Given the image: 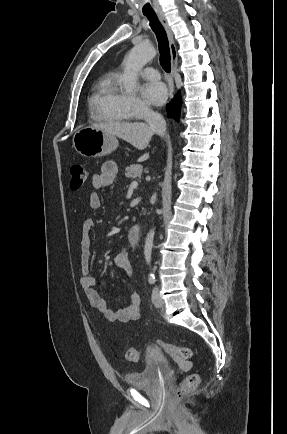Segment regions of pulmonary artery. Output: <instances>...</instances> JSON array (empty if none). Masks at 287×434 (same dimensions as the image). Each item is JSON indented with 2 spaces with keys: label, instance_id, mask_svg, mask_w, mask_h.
I'll list each match as a JSON object with an SVG mask.
<instances>
[{
  "label": "pulmonary artery",
  "instance_id": "obj_1",
  "mask_svg": "<svg viewBox=\"0 0 287 434\" xmlns=\"http://www.w3.org/2000/svg\"><path fill=\"white\" fill-rule=\"evenodd\" d=\"M140 74L143 78L149 80H157L160 78L158 71L151 67L144 68Z\"/></svg>",
  "mask_w": 287,
  "mask_h": 434
}]
</instances>
